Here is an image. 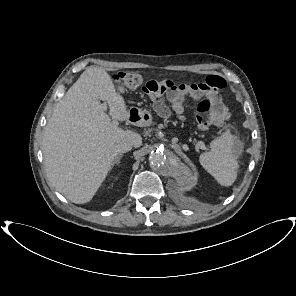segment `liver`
<instances>
[{
    "label": "liver",
    "instance_id": "obj_1",
    "mask_svg": "<svg viewBox=\"0 0 296 296\" xmlns=\"http://www.w3.org/2000/svg\"><path fill=\"white\" fill-rule=\"evenodd\" d=\"M129 118L124 98L102 67L90 66L57 103L43 136L47 176L55 189L76 204L89 202L105 180L115 158V144L123 139L139 147L142 138L114 126Z\"/></svg>",
    "mask_w": 296,
    "mask_h": 296
}]
</instances>
